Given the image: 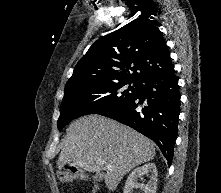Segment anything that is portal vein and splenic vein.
<instances>
[{"instance_id":"portal-vein-and-splenic-vein-1","label":"portal vein and splenic vein","mask_w":221,"mask_h":193,"mask_svg":"<svg viewBox=\"0 0 221 193\" xmlns=\"http://www.w3.org/2000/svg\"><path fill=\"white\" fill-rule=\"evenodd\" d=\"M98 162H99L100 164H104V163H105L104 160H98ZM106 168H107V170H112V166H110V165H107Z\"/></svg>"}]
</instances>
